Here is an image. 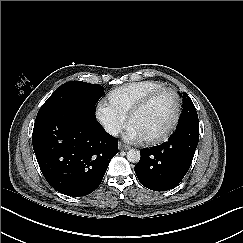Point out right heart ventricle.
Listing matches in <instances>:
<instances>
[{
	"label": "right heart ventricle",
	"instance_id": "e07e8e85",
	"mask_svg": "<svg viewBox=\"0 0 243 243\" xmlns=\"http://www.w3.org/2000/svg\"><path fill=\"white\" fill-rule=\"evenodd\" d=\"M163 88V85L157 82H140L128 85L111 96V106L120 116L130 115L144 98Z\"/></svg>",
	"mask_w": 243,
	"mask_h": 243
}]
</instances>
